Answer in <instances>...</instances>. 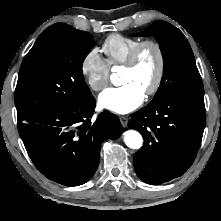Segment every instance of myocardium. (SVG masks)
<instances>
[{
	"label": "myocardium",
	"instance_id": "1",
	"mask_svg": "<svg viewBox=\"0 0 221 221\" xmlns=\"http://www.w3.org/2000/svg\"><path fill=\"white\" fill-rule=\"evenodd\" d=\"M151 47L155 50L157 55V71L155 75V79L151 86L145 91V94L147 96H151L155 94L161 87L164 74H165V55L162 46L159 42L152 40V39H146L140 41L130 52L127 60L123 64L125 68L127 69H133L137 66L138 61L140 59V56L142 52L147 48Z\"/></svg>",
	"mask_w": 221,
	"mask_h": 221
}]
</instances>
